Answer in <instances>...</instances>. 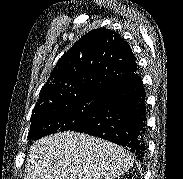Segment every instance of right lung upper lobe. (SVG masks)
Instances as JSON below:
<instances>
[{
	"label": "right lung upper lobe",
	"mask_w": 183,
	"mask_h": 179,
	"mask_svg": "<svg viewBox=\"0 0 183 179\" xmlns=\"http://www.w3.org/2000/svg\"><path fill=\"white\" fill-rule=\"evenodd\" d=\"M127 42L105 28L82 36L57 62L36 106L63 98L102 94L115 81L138 71Z\"/></svg>",
	"instance_id": "1"
}]
</instances>
